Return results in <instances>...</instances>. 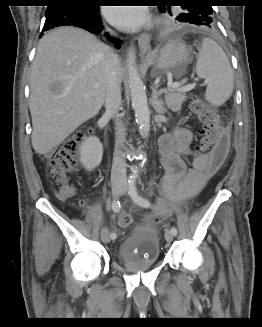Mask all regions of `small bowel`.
Masks as SVG:
<instances>
[{"mask_svg":"<svg viewBox=\"0 0 262 327\" xmlns=\"http://www.w3.org/2000/svg\"><path fill=\"white\" fill-rule=\"evenodd\" d=\"M193 133L183 127L159 138L162 165L165 173L161 180L159 207L157 212H168L167 201L180 202L195 196L213 172L208 171V155H194L191 145ZM192 158L191 164L187 160ZM85 207L84 199H79Z\"/></svg>","mask_w":262,"mask_h":327,"instance_id":"small-bowel-1","label":"small bowel"}]
</instances>
